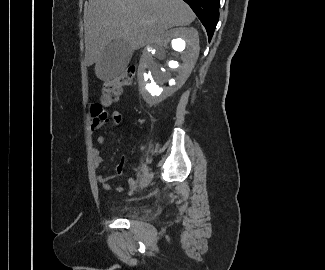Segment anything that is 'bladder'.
<instances>
[{
    "mask_svg": "<svg viewBox=\"0 0 325 270\" xmlns=\"http://www.w3.org/2000/svg\"><path fill=\"white\" fill-rule=\"evenodd\" d=\"M120 212L124 215H135L139 212V208L137 206H124L120 208Z\"/></svg>",
    "mask_w": 325,
    "mask_h": 270,
    "instance_id": "1",
    "label": "bladder"
}]
</instances>
